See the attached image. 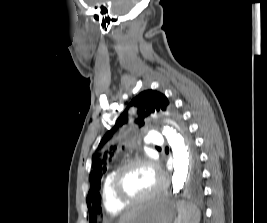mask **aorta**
Returning <instances> with one entry per match:
<instances>
[{
    "mask_svg": "<svg viewBox=\"0 0 267 223\" xmlns=\"http://www.w3.org/2000/svg\"><path fill=\"white\" fill-rule=\"evenodd\" d=\"M162 134L168 140L173 152V175L170 189L173 194H178L188 179L190 168L188 145L180 134L178 125L173 121H167Z\"/></svg>",
    "mask_w": 267,
    "mask_h": 223,
    "instance_id": "1",
    "label": "aorta"
}]
</instances>
